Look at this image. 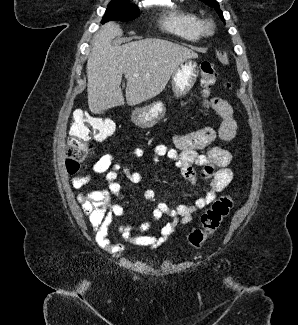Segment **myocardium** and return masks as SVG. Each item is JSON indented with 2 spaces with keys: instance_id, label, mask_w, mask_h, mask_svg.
<instances>
[{
  "instance_id": "obj_1",
  "label": "myocardium",
  "mask_w": 298,
  "mask_h": 325,
  "mask_svg": "<svg viewBox=\"0 0 298 325\" xmlns=\"http://www.w3.org/2000/svg\"><path fill=\"white\" fill-rule=\"evenodd\" d=\"M202 30L204 33L209 34L210 33V26L207 23L202 24Z\"/></svg>"
}]
</instances>
